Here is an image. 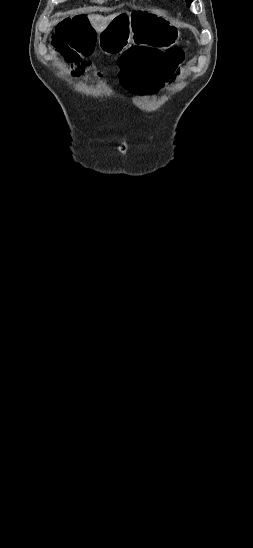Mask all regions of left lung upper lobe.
Returning <instances> with one entry per match:
<instances>
[{
  "mask_svg": "<svg viewBox=\"0 0 253 548\" xmlns=\"http://www.w3.org/2000/svg\"><path fill=\"white\" fill-rule=\"evenodd\" d=\"M191 2H192V0H186V3H187L188 6H190Z\"/></svg>",
  "mask_w": 253,
  "mask_h": 548,
  "instance_id": "1",
  "label": "left lung upper lobe"
}]
</instances>
